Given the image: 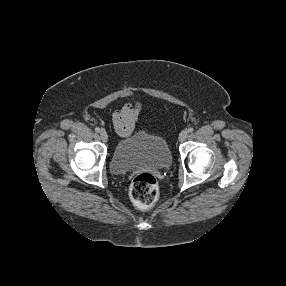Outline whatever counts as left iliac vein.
I'll return each instance as SVG.
<instances>
[{
	"instance_id": "1",
	"label": "left iliac vein",
	"mask_w": 286,
	"mask_h": 286,
	"mask_svg": "<svg viewBox=\"0 0 286 286\" xmlns=\"http://www.w3.org/2000/svg\"><path fill=\"white\" fill-rule=\"evenodd\" d=\"M188 136V131L187 130H183L180 134H179V141L183 142L186 140Z\"/></svg>"
}]
</instances>
